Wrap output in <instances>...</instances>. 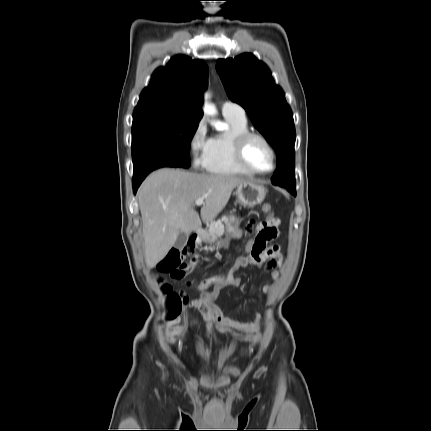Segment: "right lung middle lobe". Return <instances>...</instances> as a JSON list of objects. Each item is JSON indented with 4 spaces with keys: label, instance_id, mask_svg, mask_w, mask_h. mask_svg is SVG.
Returning a JSON list of instances; mask_svg holds the SVG:
<instances>
[{
    "label": "right lung middle lobe",
    "instance_id": "right-lung-middle-lobe-1",
    "mask_svg": "<svg viewBox=\"0 0 431 431\" xmlns=\"http://www.w3.org/2000/svg\"><path fill=\"white\" fill-rule=\"evenodd\" d=\"M198 124L199 121L173 117L133 118V166L145 161L149 156L159 154L174 159L181 167L188 168L191 140Z\"/></svg>",
    "mask_w": 431,
    "mask_h": 431
}]
</instances>
